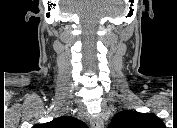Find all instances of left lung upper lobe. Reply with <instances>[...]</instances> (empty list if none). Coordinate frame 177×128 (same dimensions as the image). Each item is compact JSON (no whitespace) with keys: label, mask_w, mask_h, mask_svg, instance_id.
<instances>
[{"label":"left lung upper lobe","mask_w":177,"mask_h":128,"mask_svg":"<svg viewBox=\"0 0 177 128\" xmlns=\"http://www.w3.org/2000/svg\"><path fill=\"white\" fill-rule=\"evenodd\" d=\"M164 123L152 113L125 110L117 113L109 128H160Z\"/></svg>","instance_id":"5c2ea615"}]
</instances>
